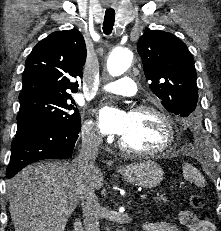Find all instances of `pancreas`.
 <instances>
[{
    "mask_svg": "<svg viewBox=\"0 0 221 231\" xmlns=\"http://www.w3.org/2000/svg\"><path fill=\"white\" fill-rule=\"evenodd\" d=\"M155 199L164 203L168 202V198L165 195H158Z\"/></svg>",
    "mask_w": 221,
    "mask_h": 231,
    "instance_id": "1",
    "label": "pancreas"
}]
</instances>
